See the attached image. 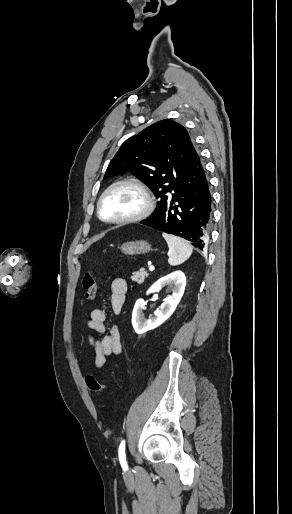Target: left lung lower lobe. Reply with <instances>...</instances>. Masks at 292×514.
Here are the masks:
<instances>
[{"instance_id":"0a47b994","label":"left lung lower lobe","mask_w":292,"mask_h":514,"mask_svg":"<svg viewBox=\"0 0 292 514\" xmlns=\"http://www.w3.org/2000/svg\"><path fill=\"white\" fill-rule=\"evenodd\" d=\"M212 219V197L201 159L194 146L189 165L172 192L159 201L157 211L142 224L187 239L203 249Z\"/></svg>"}]
</instances>
